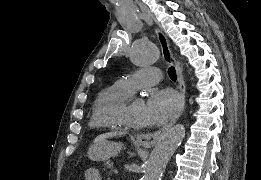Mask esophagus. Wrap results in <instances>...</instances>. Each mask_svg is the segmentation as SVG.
Here are the masks:
<instances>
[{
	"mask_svg": "<svg viewBox=\"0 0 261 180\" xmlns=\"http://www.w3.org/2000/svg\"><path fill=\"white\" fill-rule=\"evenodd\" d=\"M155 33L157 35V38L161 46V53H162L163 60L168 65H174L175 67L176 75L179 83L180 105L176 114L171 118V120L166 125H164V127L160 128V130L154 133H146L137 136V141L146 148L153 147L155 143L158 142V140L162 137V135L165 134V132H167V130H169V128H171L172 125H174L176 120L182 114L185 106L186 87H185L182 71L171 52L167 37L159 28H155Z\"/></svg>",
	"mask_w": 261,
	"mask_h": 180,
	"instance_id": "obj_1",
	"label": "esophagus"
}]
</instances>
